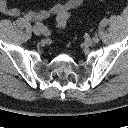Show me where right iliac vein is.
Returning <instances> with one entry per match:
<instances>
[{
    "mask_svg": "<svg viewBox=\"0 0 128 128\" xmlns=\"http://www.w3.org/2000/svg\"><path fill=\"white\" fill-rule=\"evenodd\" d=\"M33 32H34L35 35H38V36L41 35V30H40L39 27H34Z\"/></svg>",
    "mask_w": 128,
    "mask_h": 128,
    "instance_id": "right-iliac-vein-1",
    "label": "right iliac vein"
}]
</instances>
